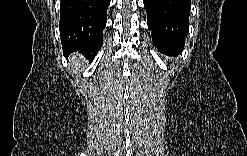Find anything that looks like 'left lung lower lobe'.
Segmentation results:
<instances>
[{
  "label": "left lung lower lobe",
  "mask_w": 247,
  "mask_h": 156,
  "mask_svg": "<svg viewBox=\"0 0 247 156\" xmlns=\"http://www.w3.org/2000/svg\"><path fill=\"white\" fill-rule=\"evenodd\" d=\"M153 43L161 53L177 56L189 29L190 0H144Z\"/></svg>",
  "instance_id": "1"
}]
</instances>
